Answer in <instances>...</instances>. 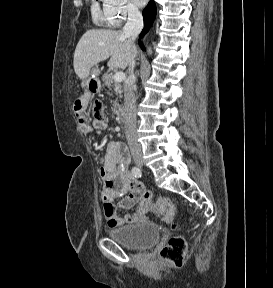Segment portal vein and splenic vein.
<instances>
[{
    "label": "portal vein and splenic vein",
    "mask_w": 273,
    "mask_h": 288,
    "mask_svg": "<svg viewBox=\"0 0 273 288\" xmlns=\"http://www.w3.org/2000/svg\"><path fill=\"white\" fill-rule=\"evenodd\" d=\"M125 79V74L123 72H117L114 75V80L116 82H122Z\"/></svg>",
    "instance_id": "18ae733b"
}]
</instances>
